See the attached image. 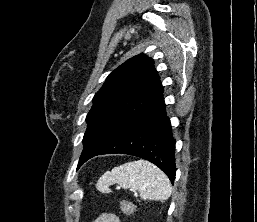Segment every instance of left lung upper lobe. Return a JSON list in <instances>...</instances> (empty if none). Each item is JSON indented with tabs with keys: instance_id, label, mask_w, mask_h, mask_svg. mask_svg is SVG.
Listing matches in <instances>:
<instances>
[{
	"instance_id": "left-lung-upper-lobe-1",
	"label": "left lung upper lobe",
	"mask_w": 257,
	"mask_h": 222,
	"mask_svg": "<svg viewBox=\"0 0 257 222\" xmlns=\"http://www.w3.org/2000/svg\"><path fill=\"white\" fill-rule=\"evenodd\" d=\"M161 94L163 86L154 61L145 54L130 58L112 71L93 97L78 165L98 152Z\"/></svg>"
}]
</instances>
